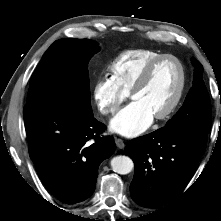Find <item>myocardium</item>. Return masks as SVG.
<instances>
[{
    "label": "myocardium",
    "mask_w": 221,
    "mask_h": 221,
    "mask_svg": "<svg viewBox=\"0 0 221 221\" xmlns=\"http://www.w3.org/2000/svg\"><path fill=\"white\" fill-rule=\"evenodd\" d=\"M171 59L176 62V64L179 67L180 70V81H179V86L177 89V92L169 104V106L161 113L157 114L154 116L155 120H165L169 118L177 109L179 106L186 87V69L183 64V62L176 56L172 54H163L160 55L159 57L153 59L151 62L147 64V66L144 68L136 82L134 83L133 87L130 90V98H132L137 92H139L149 81L153 70L163 61Z\"/></svg>",
    "instance_id": "f54148a6"
}]
</instances>
